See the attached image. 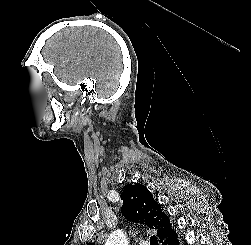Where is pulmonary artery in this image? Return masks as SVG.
I'll list each match as a JSON object with an SVG mask.
<instances>
[{
    "label": "pulmonary artery",
    "instance_id": "pulmonary-artery-1",
    "mask_svg": "<svg viewBox=\"0 0 251 245\" xmlns=\"http://www.w3.org/2000/svg\"><path fill=\"white\" fill-rule=\"evenodd\" d=\"M140 245H146V243H145V242H142V243H140Z\"/></svg>",
    "mask_w": 251,
    "mask_h": 245
}]
</instances>
